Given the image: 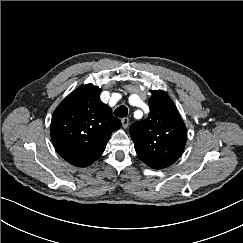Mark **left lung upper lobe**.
I'll return each mask as SVG.
<instances>
[{"mask_svg": "<svg viewBox=\"0 0 243 243\" xmlns=\"http://www.w3.org/2000/svg\"><path fill=\"white\" fill-rule=\"evenodd\" d=\"M150 114L129 128L140 160L153 169L166 168L181 156L187 139L186 126L167 93L151 91Z\"/></svg>", "mask_w": 243, "mask_h": 243, "instance_id": "obj_1", "label": "left lung upper lobe"}]
</instances>
